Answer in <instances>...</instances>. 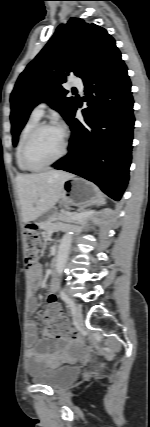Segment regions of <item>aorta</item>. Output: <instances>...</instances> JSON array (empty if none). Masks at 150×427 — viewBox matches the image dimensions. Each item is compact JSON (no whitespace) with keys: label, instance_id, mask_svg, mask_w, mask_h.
I'll return each mask as SVG.
<instances>
[{"label":"aorta","instance_id":"obj_1","mask_svg":"<svg viewBox=\"0 0 150 427\" xmlns=\"http://www.w3.org/2000/svg\"><path fill=\"white\" fill-rule=\"evenodd\" d=\"M71 243H72V234H71V231L69 230L64 234V236L61 239L57 257H56V271L58 275H61L65 269Z\"/></svg>","mask_w":150,"mask_h":427}]
</instances>
